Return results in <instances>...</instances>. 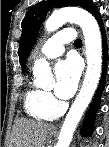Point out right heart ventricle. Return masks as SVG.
I'll list each match as a JSON object with an SVG mask.
<instances>
[{"mask_svg": "<svg viewBox=\"0 0 109 147\" xmlns=\"http://www.w3.org/2000/svg\"><path fill=\"white\" fill-rule=\"evenodd\" d=\"M43 91L30 79H27L24 91V107L27 114L37 120L51 119L58 113V108H49L44 104Z\"/></svg>", "mask_w": 109, "mask_h": 147, "instance_id": "right-heart-ventricle-1", "label": "right heart ventricle"}]
</instances>
